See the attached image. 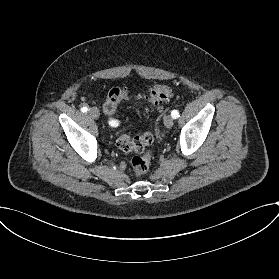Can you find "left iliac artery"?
<instances>
[{
  "label": "left iliac artery",
  "mask_w": 279,
  "mask_h": 279,
  "mask_svg": "<svg viewBox=\"0 0 279 279\" xmlns=\"http://www.w3.org/2000/svg\"><path fill=\"white\" fill-rule=\"evenodd\" d=\"M171 116H172L173 119H176V118L180 117L179 112L177 110H173L171 112Z\"/></svg>",
  "instance_id": "obj_1"
}]
</instances>
